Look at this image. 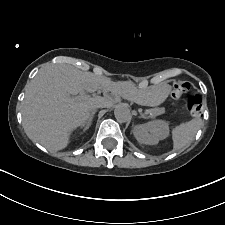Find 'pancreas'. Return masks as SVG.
<instances>
[{"mask_svg":"<svg viewBox=\"0 0 225 225\" xmlns=\"http://www.w3.org/2000/svg\"><path fill=\"white\" fill-rule=\"evenodd\" d=\"M148 111V115L151 118H155L158 115H161L165 112L164 108H153V109H149Z\"/></svg>","mask_w":225,"mask_h":225,"instance_id":"cf45deb5","label":"pancreas"}]
</instances>
